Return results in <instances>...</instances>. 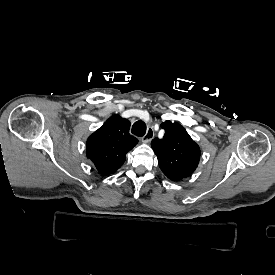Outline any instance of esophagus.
I'll return each mask as SVG.
<instances>
[{
	"label": "esophagus",
	"instance_id": "1",
	"mask_svg": "<svg viewBox=\"0 0 275 275\" xmlns=\"http://www.w3.org/2000/svg\"><path fill=\"white\" fill-rule=\"evenodd\" d=\"M154 138V129L153 127H149L147 129L146 134L142 138L143 143H149Z\"/></svg>",
	"mask_w": 275,
	"mask_h": 275
}]
</instances>
